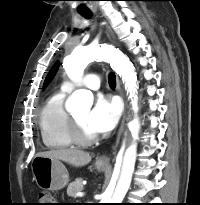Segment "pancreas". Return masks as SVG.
Wrapping results in <instances>:
<instances>
[{"label":"pancreas","mask_w":200,"mask_h":205,"mask_svg":"<svg viewBox=\"0 0 200 205\" xmlns=\"http://www.w3.org/2000/svg\"><path fill=\"white\" fill-rule=\"evenodd\" d=\"M83 190V179L76 178L75 181L71 182L67 187V195L70 197H75L77 192Z\"/></svg>","instance_id":"1"}]
</instances>
